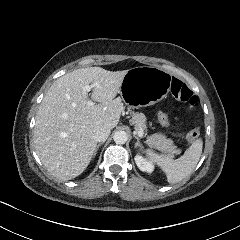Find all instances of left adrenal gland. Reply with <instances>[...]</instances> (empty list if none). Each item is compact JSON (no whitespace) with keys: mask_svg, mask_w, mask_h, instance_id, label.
Segmentation results:
<instances>
[{"mask_svg":"<svg viewBox=\"0 0 240 240\" xmlns=\"http://www.w3.org/2000/svg\"><path fill=\"white\" fill-rule=\"evenodd\" d=\"M133 137L137 140L136 143H135V147H140L141 149H143V146L140 143V138L136 135H133Z\"/></svg>","mask_w":240,"mask_h":240,"instance_id":"a2214340","label":"left adrenal gland"}]
</instances>
